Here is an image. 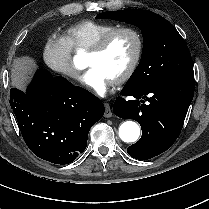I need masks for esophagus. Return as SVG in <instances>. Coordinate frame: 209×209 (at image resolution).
Listing matches in <instances>:
<instances>
[{"label": "esophagus", "instance_id": "1", "mask_svg": "<svg viewBox=\"0 0 209 209\" xmlns=\"http://www.w3.org/2000/svg\"><path fill=\"white\" fill-rule=\"evenodd\" d=\"M104 106H105V114H104V116L107 117V118L112 117L113 113H112L110 105L108 103H104Z\"/></svg>", "mask_w": 209, "mask_h": 209}]
</instances>
